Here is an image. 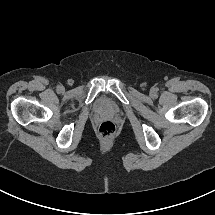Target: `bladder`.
<instances>
[{
  "label": "bladder",
  "instance_id": "31cf9c89",
  "mask_svg": "<svg viewBox=\"0 0 215 215\" xmlns=\"http://www.w3.org/2000/svg\"><path fill=\"white\" fill-rule=\"evenodd\" d=\"M96 110L100 113H116L117 107L116 105L106 97H101L97 102H96Z\"/></svg>",
  "mask_w": 215,
  "mask_h": 215
}]
</instances>
